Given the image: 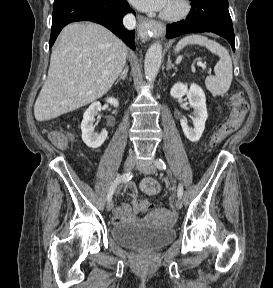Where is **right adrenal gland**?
Instances as JSON below:
<instances>
[{"label":"right adrenal gland","mask_w":273,"mask_h":288,"mask_svg":"<svg viewBox=\"0 0 273 288\" xmlns=\"http://www.w3.org/2000/svg\"><path fill=\"white\" fill-rule=\"evenodd\" d=\"M128 70H129V68H128V66L126 65L125 68L123 69V71L120 73V76H119V78L117 79V81L115 82V84H117L121 79H122V80H125V78H126V76H127V74H128Z\"/></svg>","instance_id":"right-adrenal-gland-1"}]
</instances>
